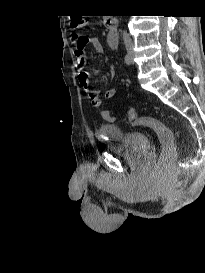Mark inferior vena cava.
I'll return each mask as SVG.
<instances>
[{"mask_svg": "<svg viewBox=\"0 0 205 273\" xmlns=\"http://www.w3.org/2000/svg\"><path fill=\"white\" fill-rule=\"evenodd\" d=\"M123 40L126 47L128 48L132 47L133 44H132L131 38L126 31L123 32Z\"/></svg>", "mask_w": 205, "mask_h": 273, "instance_id": "1", "label": "inferior vena cava"}]
</instances>
